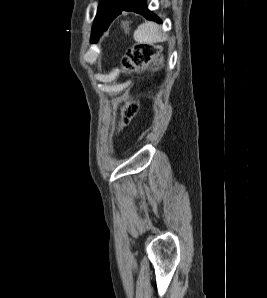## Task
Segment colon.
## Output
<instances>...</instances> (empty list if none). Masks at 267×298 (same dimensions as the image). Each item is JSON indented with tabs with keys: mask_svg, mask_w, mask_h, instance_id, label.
<instances>
[{
	"mask_svg": "<svg viewBox=\"0 0 267 298\" xmlns=\"http://www.w3.org/2000/svg\"><path fill=\"white\" fill-rule=\"evenodd\" d=\"M160 48L155 45L146 43H137L129 48L122 59V69L126 73L137 72L145 65L149 64L152 59H155L158 64H161L162 58ZM137 108V103L134 99L131 100L128 107L122 112L120 123L126 125L132 114Z\"/></svg>",
	"mask_w": 267,
	"mask_h": 298,
	"instance_id": "obj_1",
	"label": "colon"
}]
</instances>
